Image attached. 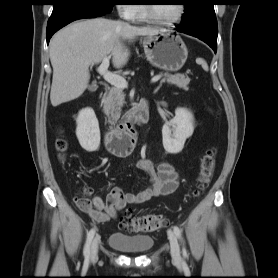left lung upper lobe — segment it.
Masks as SVG:
<instances>
[{"instance_id": "obj_1", "label": "left lung upper lobe", "mask_w": 278, "mask_h": 278, "mask_svg": "<svg viewBox=\"0 0 278 278\" xmlns=\"http://www.w3.org/2000/svg\"><path fill=\"white\" fill-rule=\"evenodd\" d=\"M183 23L204 20L218 34L214 0H184Z\"/></svg>"}]
</instances>
